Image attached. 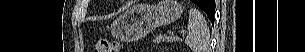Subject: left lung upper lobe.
Masks as SVG:
<instances>
[{"label":"left lung upper lobe","instance_id":"5c2ea615","mask_svg":"<svg viewBox=\"0 0 305 52\" xmlns=\"http://www.w3.org/2000/svg\"><path fill=\"white\" fill-rule=\"evenodd\" d=\"M195 4H197L199 7H203L206 0H194Z\"/></svg>","mask_w":305,"mask_h":52}]
</instances>
